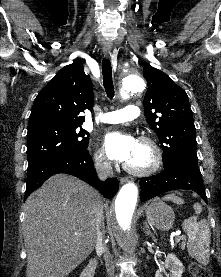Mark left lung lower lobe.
<instances>
[{
  "label": "left lung lower lobe",
  "instance_id": "1",
  "mask_svg": "<svg viewBox=\"0 0 221 277\" xmlns=\"http://www.w3.org/2000/svg\"><path fill=\"white\" fill-rule=\"evenodd\" d=\"M140 187L142 201L167 191L188 189L198 193L208 203L201 174L194 173L186 167H172L155 176L141 178Z\"/></svg>",
  "mask_w": 221,
  "mask_h": 277
}]
</instances>
